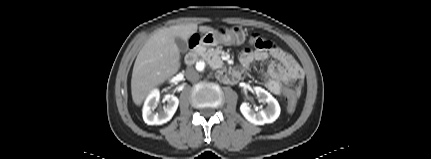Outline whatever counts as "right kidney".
Listing matches in <instances>:
<instances>
[{"label":"right kidney","mask_w":431,"mask_h":159,"mask_svg":"<svg viewBox=\"0 0 431 159\" xmlns=\"http://www.w3.org/2000/svg\"><path fill=\"white\" fill-rule=\"evenodd\" d=\"M160 100V92L158 89L153 90L147 97L143 106V120L148 125H162L168 122L176 112L179 99L174 95H166L164 101H167V105L163 107L159 112H155Z\"/></svg>","instance_id":"obj_1"}]
</instances>
